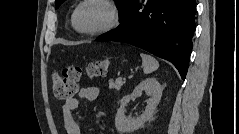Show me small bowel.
<instances>
[{
    "label": "small bowel",
    "mask_w": 239,
    "mask_h": 134,
    "mask_svg": "<svg viewBox=\"0 0 239 134\" xmlns=\"http://www.w3.org/2000/svg\"><path fill=\"white\" fill-rule=\"evenodd\" d=\"M99 96V90L96 87H82L78 90L77 96L68 99L62 106V115L64 125L68 134H82V128L79 120L74 113L79 107V99L94 101Z\"/></svg>",
    "instance_id": "obj_1"
}]
</instances>
